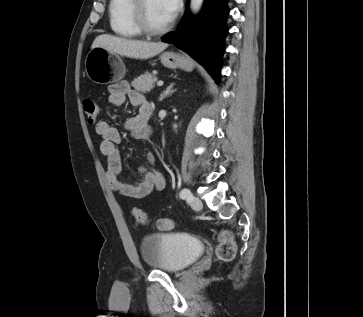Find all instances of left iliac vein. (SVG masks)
I'll return each instance as SVG.
<instances>
[{
  "instance_id": "4c4485c4",
  "label": "left iliac vein",
  "mask_w": 363,
  "mask_h": 317,
  "mask_svg": "<svg viewBox=\"0 0 363 317\" xmlns=\"http://www.w3.org/2000/svg\"><path fill=\"white\" fill-rule=\"evenodd\" d=\"M188 201L190 202L191 207L196 211H200L203 207L202 201L196 196H190Z\"/></svg>"
}]
</instances>
